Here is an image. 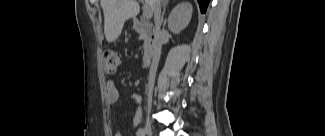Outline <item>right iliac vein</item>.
<instances>
[{
  "instance_id": "right-iliac-vein-1",
  "label": "right iliac vein",
  "mask_w": 325,
  "mask_h": 136,
  "mask_svg": "<svg viewBox=\"0 0 325 136\" xmlns=\"http://www.w3.org/2000/svg\"><path fill=\"white\" fill-rule=\"evenodd\" d=\"M145 133L150 136L152 135V126H151V123L150 122H147L146 123V126H145Z\"/></svg>"
}]
</instances>
